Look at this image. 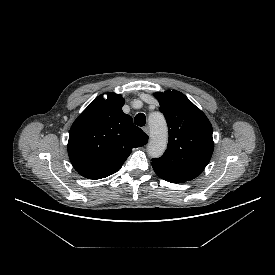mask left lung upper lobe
<instances>
[{
	"label": "left lung upper lobe",
	"mask_w": 275,
	"mask_h": 275,
	"mask_svg": "<svg viewBox=\"0 0 275 275\" xmlns=\"http://www.w3.org/2000/svg\"><path fill=\"white\" fill-rule=\"evenodd\" d=\"M168 123L166 151L152 159L154 169L190 181L209 163L214 142L212 126L205 114L184 94L173 90L154 94Z\"/></svg>",
	"instance_id": "left-lung-upper-lobe-1"
}]
</instances>
